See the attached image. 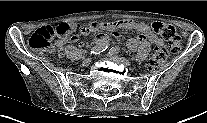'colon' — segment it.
<instances>
[{
	"label": "colon",
	"instance_id": "5ec220e1",
	"mask_svg": "<svg viewBox=\"0 0 207 123\" xmlns=\"http://www.w3.org/2000/svg\"><path fill=\"white\" fill-rule=\"evenodd\" d=\"M151 29L161 35L167 45L155 50L148 65L151 69H158L170 56L176 55L182 50V41L173 26L161 21H153ZM77 26L73 23L64 22L57 26H44L37 29L29 39V46L38 51L53 52L51 40L54 36L71 40L76 37Z\"/></svg>",
	"mask_w": 207,
	"mask_h": 123
}]
</instances>
